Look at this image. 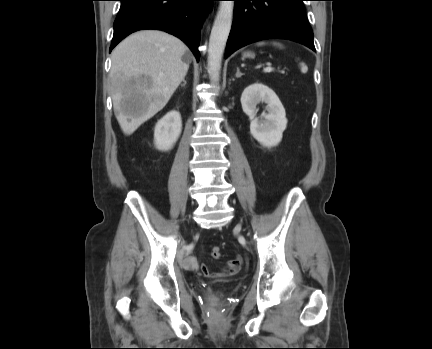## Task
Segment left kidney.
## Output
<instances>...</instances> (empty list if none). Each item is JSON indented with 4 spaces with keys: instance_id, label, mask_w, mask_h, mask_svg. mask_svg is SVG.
<instances>
[{
    "instance_id": "1",
    "label": "left kidney",
    "mask_w": 432,
    "mask_h": 349,
    "mask_svg": "<svg viewBox=\"0 0 432 349\" xmlns=\"http://www.w3.org/2000/svg\"><path fill=\"white\" fill-rule=\"evenodd\" d=\"M260 102L267 104L268 114L256 118V106ZM243 112L251 119L250 133L263 146H277L287 126L285 109L276 93L262 83L246 87L241 95Z\"/></svg>"
}]
</instances>
